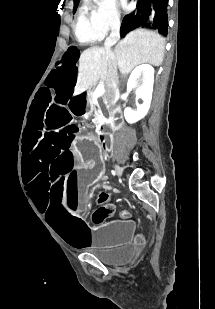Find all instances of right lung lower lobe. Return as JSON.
<instances>
[{
  "label": "right lung lower lobe",
  "mask_w": 215,
  "mask_h": 309,
  "mask_svg": "<svg viewBox=\"0 0 215 309\" xmlns=\"http://www.w3.org/2000/svg\"><path fill=\"white\" fill-rule=\"evenodd\" d=\"M167 11L168 0H138L137 11L123 19L120 29L121 36L140 26L156 29L166 36L168 29Z\"/></svg>",
  "instance_id": "obj_1"
}]
</instances>
